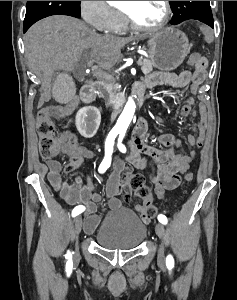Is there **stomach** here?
<instances>
[{"instance_id": "stomach-1", "label": "stomach", "mask_w": 237, "mask_h": 300, "mask_svg": "<svg viewBox=\"0 0 237 300\" xmlns=\"http://www.w3.org/2000/svg\"><path fill=\"white\" fill-rule=\"evenodd\" d=\"M135 39H148V55L156 69L159 71H174L185 57L190 53L192 47L185 33L166 27L152 35H137Z\"/></svg>"}]
</instances>
